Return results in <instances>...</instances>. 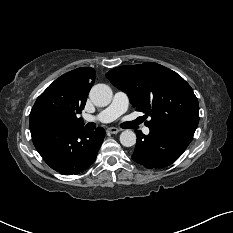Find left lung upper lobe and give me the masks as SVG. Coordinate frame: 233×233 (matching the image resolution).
Returning a JSON list of instances; mask_svg holds the SVG:
<instances>
[{
    "label": "left lung upper lobe",
    "mask_w": 233,
    "mask_h": 233,
    "mask_svg": "<svg viewBox=\"0 0 233 233\" xmlns=\"http://www.w3.org/2000/svg\"><path fill=\"white\" fill-rule=\"evenodd\" d=\"M106 76L125 92L137 111L151 117L149 129H176L194 134L199 104L190 85L176 72L153 62L120 66Z\"/></svg>",
    "instance_id": "left-lung-upper-lobe-1"
}]
</instances>
